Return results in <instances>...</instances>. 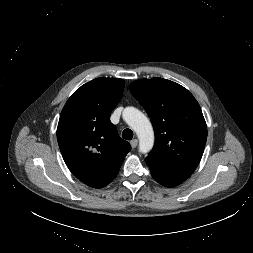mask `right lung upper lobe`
Here are the masks:
<instances>
[{
    "label": "right lung upper lobe",
    "instance_id": "right-lung-upper-lobe-1",
    "mask_svg": "<svg viewBox=\"0 0 253 253\" xmlns=\"http://www.w3.org/2000/svg\"><path fill=\"white\" fill-rule=\"evenodd\" d=\"M125 82L96 78L77 89L62 109L57 140L69 170L93 188L108 185L118 174L130 144L110 121Z\"/></svg>",
    "mask_w": 253,
    "mask_h": 253
}]
</instances>
